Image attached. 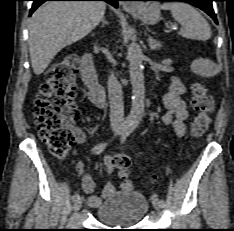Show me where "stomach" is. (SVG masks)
<instances>
[{
    "label": "stomach",
    "mask_w": 234,
    "mask_h": 231,
    "mask_svg": "<svg viewBox=\"0 0 234 231\" xmlns=\"http://www.w3.org/2000/svg\"><path fill=\"white\" fill-rule=\"evenodd\" d=\"M144 23L156 24L160 20V10L156 3L144 6L140 11L134 13Z\"/></svg>",
    "instance_id": "0dacf381"
}]
</instances>
